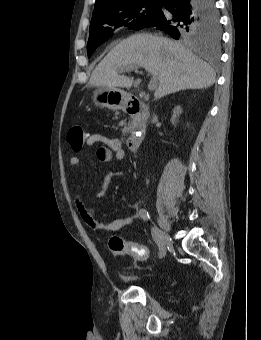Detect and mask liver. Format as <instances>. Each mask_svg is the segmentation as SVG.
Returning a JSON list of instances; mask_svg holds the SVG:
<instances>
[{"label": "liver", "mask_w": 261, "mask_h": 340, "mask_svg": "<svg viewBox=\"0 0 261 340\" xmlns=\"http://www.w3.org/2000/svg\"><path fill=\"white\" fill-rule=\"evenodd\" d=\"M142 66L159 81L154 97L185 89L208 88L215 82L214 70L186 47L165 37L134 34L117 44L91 74L92 87L130 88L132 77L122 69Z\"/></svg>", "instance_id": "liver-1"}]
</instances>
